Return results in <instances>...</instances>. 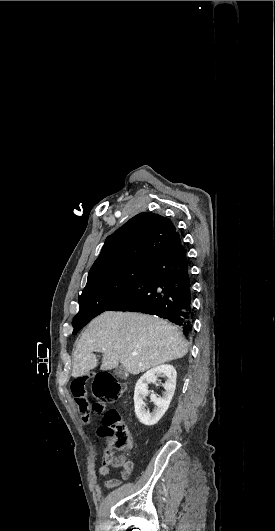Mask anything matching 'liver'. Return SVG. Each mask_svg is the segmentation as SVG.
<instances>
[{"mask_svg": "<svg viewBox=\"0 0 275 531\" xmlns=\"http://www.w3.org/2000/svg\"><path fill=\"white\" fill-rule=\"evenodd\" d=\"M94 353H103L101 371L116 369L121 363L128 373L139 375L185 357L188 345L178 327L163 319L106 311L93 319L80 337L73 353L72 377H82L97 367ZM132 353H137L136 357Z\"/></svg>", "mask_w": 275, "mask_h": 531, "instance_id": "liver-1", "label": "liver"}]
</instances>
